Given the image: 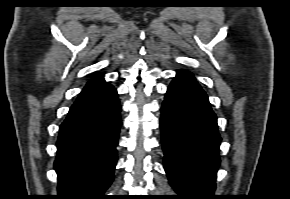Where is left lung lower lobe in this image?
<instances>
[{
    "instance_id": "1",
    "label": "left lung lower lobe",
    "mask_w": 290,
    "mask_h": 199,
    "mask_svg": "<svg viewBox=\"0 0 290 199\" xmlns=\"http://www.w3.org/2000/svg\"><path fill=\"white\" fill-rule=\"evenodd\" d=\"M164 169L185 199H211L221 138L208 97L193 74L177 72L162 104Z\"/></svg>"
}]
</instances>
